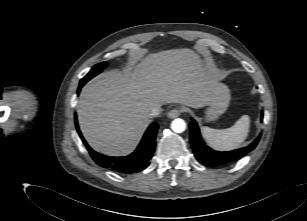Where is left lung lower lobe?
<instances>
[{
    "label": "left lung lower lobe",
    "instance_id": "obj_1",
    "mask_svg": "<svg viewBox=\"0 0 307 221\" xmlns=\"http://www.w3.org/2000/svg\"><path fill=\"white\" fill-rule=\"evenodd\" d=\"M263 115L261 116V121ZM190 143L196 159L202 164L210 167H217L220 165L234 162L245 156L248 152L253 150L260 140V135L249 146L227 152H217L209 148L202 140L197 123L192 120L190 122Z\"/></svg>",
    "mask_w": 307,
    "mask_h": 221
}]
</instances>
